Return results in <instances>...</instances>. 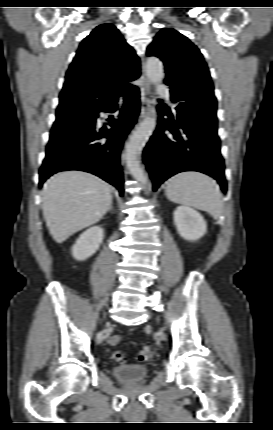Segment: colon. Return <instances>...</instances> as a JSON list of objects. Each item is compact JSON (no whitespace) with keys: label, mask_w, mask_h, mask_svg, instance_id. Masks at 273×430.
<instances>
[{"label":"colon","mask_w":273,"mask_h":430,"mask_svg":"<svg viewBox=\"0 0 273 430\" xmlns=\"http://www.w3.org/2000/svg\"><path fill=\"white\" fill-rule=\"evenodd\" d=\"M122 340L121 335H114L110 338L109 343L111 345H117ZM154 355V348L151 345L144 346L136 355V359L139 361H147L151 359ZM112 358L116 361L123 360V353L120 351H115L112 354Z\"/></svg>","instance_id":"colon-1"}]
</instances>
